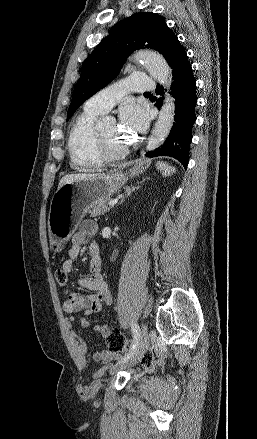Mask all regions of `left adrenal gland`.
Masks as SVG:
<instances>
[{"mask_svg": "<svg viewBox=\"0 0 257 439\" xmlns=\"http://www.w3.org/2000/svg\"><path fill=\"white\" fill-rule=\"evenodd\" d=\"M138 188H139V186L126 187L125 188V196L120 200V202L118 204L122 203L126 197L130 196V194Z\"/></svg>", "mask_w": 257, "mask_h": 439, "instance_id": "a2214340", "label": "left adrenal gland"}]
</instances>
